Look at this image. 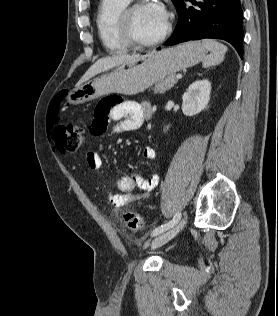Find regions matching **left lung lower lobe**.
Returning <instances> with one entry per match:
<instances>
[{
    "label": "left lung lower lobe",
    "instance_id": "0a47b994",
    "mask_svg": "<svg viewBox=\"0 0 278 316\" xmlns=\"http://www.w3.org/2000/svg\"><path fill=\"white\" fill-rule=\"evenodd\" d=\"M180 0L175 6L178 25L165 46L204 38L229 42L243 56V11L240 0ZM160 49V48H158Z\"/></svg>",
    "mask_w": 278,
    "mask_h": 316
}]
</instances>
